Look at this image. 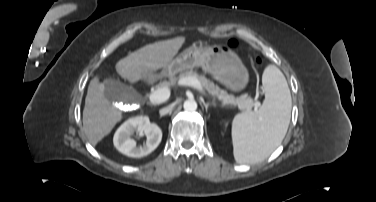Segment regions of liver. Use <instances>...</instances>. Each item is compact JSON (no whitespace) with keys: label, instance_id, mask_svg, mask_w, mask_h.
Masks as SVG:
<instances>
[{"label":"liver","instance_id":"obj_1","mask_svg":"<svg viewBox=\"0 0 376 202\" xmlns=\"http://www.w3.org/2000/svg\"><path fill=\"white\" fill-rule=\"evenodd\" d=\"M185 42V37H176L148 44L116 64L117 73L131 83L141 80L146 74L166 66ZM104 84L96 76L91 80L83 110V128L90 143L95 146L122 119V112L104 97Z\"/></svg>","mask_w":376,"mask_h":202}]
</instances>
